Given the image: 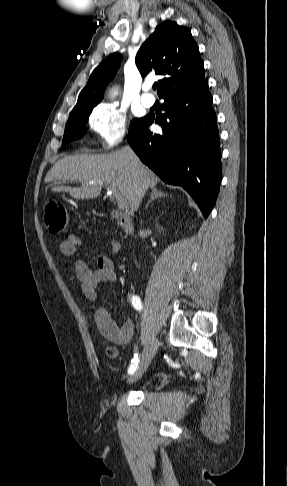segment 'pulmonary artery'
<instances>
[{"instance_id": "pulmonary-artery-1", "label": "pulmonary artery", "mask_w": 287, "mask_h": 486, "mask_svg": "<svg viewBox=\"0 0 287 486\" xmlns=\"http://www.w3.org/2000/svg\"><path fill=\"white\" fill-rule=\"evenodd\" d=\"M149 89H150V85L146 84L143 86V94L141 95V102L145 107H152L155 103L154 96L148 92Z\"/></svg>"}]
</instances>
